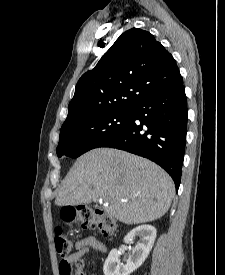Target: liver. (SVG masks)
<instances>
[{
	"label": "liver",
	"instance_id": "liver-1",
	"mask_svg": "<svg viewBox=\"0 0 225 275\" xmlns=\"http://www.w3.org/2000/svg\"><path fill=\"white\" fill-rule=\"evenodd\" d=\"M174 193L171 177L157 164L125 151L96 148L76 160L58 190L55 204L102 201L108 214L132 225L162 217Z\"/></svg>",
	"mask_w": 225,
	"mask_h": 275
}]
</instances>
